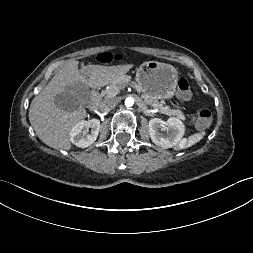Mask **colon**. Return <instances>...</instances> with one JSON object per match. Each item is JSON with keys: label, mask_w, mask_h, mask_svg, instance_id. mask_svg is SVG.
I'll use <instances>...</instances> for the list:
<instances>
[{"label": "colon", "mask_w": 253, "mask_h": 253, "mask_svg": "<svg viewBox=\"0 0 253 253\" xmlns=\"http://www.w3.org/2000/svg\"><path fill=\"white\" fill-rule=\"evenodd\" d=\"M96 60L100 63H108L112 60V55L108 52H102L96 55ZM177 89H178V94L183 99L191 98L192 91H191L190 84L186 78L180 77L178 79ZM211 121H212V113L209 109L201 108L197 110L194 117V123L196 127L200 129H204L211 124Z\"/></svg>", "instance_id": "obj_1"}]
</instances>
